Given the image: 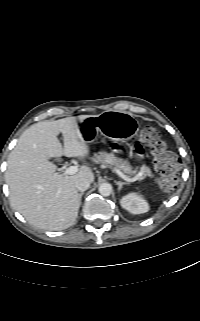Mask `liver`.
<instances>
[{
	"mask_svg": "<svg viewBox=\"0 0 200 321\" xmlns=\"http://www.w3.org/2000/svg\"><path fill=\"white\" fill-rule=\"evenodd\" d=\"M67 117L31 125L18 139L8 157L6 182L12 207L26 221L46 230H62L73 225L80 207L76 181L95 177L89 167L82 166L71 176L56 172L52 157L88 158L90 147L79 131L77 119ZM62 133L64 148L58 140Z\"/></svg>",
	"mask_w": 200,
	"mask_h": 321,
	"instance_id": "liver-1",
	"label": "liver"
}]
</instances>
